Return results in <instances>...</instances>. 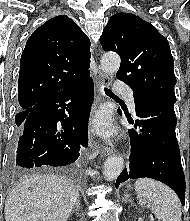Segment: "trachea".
<instances>
[{
  "label": "trachea",
  "instance_id": "3493384b",
  "mask_svg": "<svg viewBox=\"0 0 190 221\" xmlns=\"http://www.w3.org/2000/svg\"><path fill=\"white\" fill-rule=\"evenodd\" d=\"M105 93H106L107 95H112V94H113L112 91L109 90V89H107V88H105Z\"/></svg>",
  "mask_w": 190,
  "mask_h": 221
}]
</instances>
